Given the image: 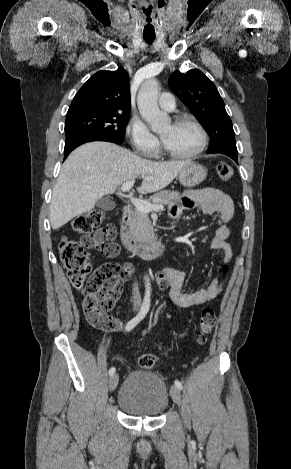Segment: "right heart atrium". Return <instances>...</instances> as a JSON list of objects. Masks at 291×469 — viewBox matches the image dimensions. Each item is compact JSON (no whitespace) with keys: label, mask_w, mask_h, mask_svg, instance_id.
I'll return each instance as SVG.
<instances>
[{"label":"right heart atrium","mask_w":291,"mask_h":469,"mask_svg":"<svg viewBox=\"0 0 291 469\" xmlns=\"http://www.w3.org/2000/svg\"><path fill=\"white\" fill-rule=\"evenodd\" d=\"M127 135L133 148L141 155L151 156L159 147L157 137L140 119H131L127 126Z\"/></svg>","instance_id":"d8ad5b80"}]
</instances>
